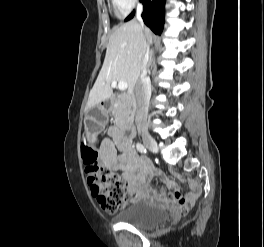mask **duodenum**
<instances>
[{
	"mask_svg": "<svg viewBox=\"0 0 264 247\" xmlns=\"http://www.w3.org/2000/svg\"><path fill=\"white\" fill-rule=\"evenodd\" d=\"M106 107H108V105H106ZM123 130L125 133H127L128 135L132 136L135 133V126L132 122H126L122 125Z\"/></svg>",
	"mask_w": 264,
	"mask_h": 247,
	"instance_id": "1",
	"label": "duodenum"
}]
</instances>
